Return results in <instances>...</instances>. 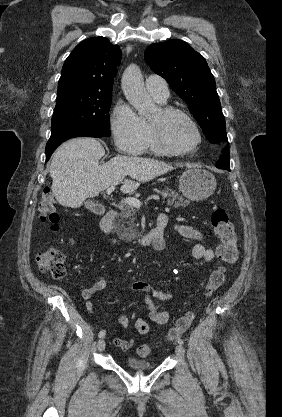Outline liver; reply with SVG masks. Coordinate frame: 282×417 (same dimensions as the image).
<instances>
[{
  "instance_id": "obj_1",
  "label": "liver",
  "mask_w": 282,
  "mask_h": 417,
  "mask_svg": "<svg viewBox=\"0 0 282 417\" xmlns=\"http://www.w3.org/2000/svg\"><path fill=\"white\" fill-rule=\"evenodd\" d=\"M104 154L105 148L101 142L88 136L72 138L57 148L50 166V176L53 178L51 188L57 202L78 209L85 198L98 196L101 190L120 184L126 174L135 180L126 178L121 192H134L140 182H148L168 170H174V166L163 160L122 154L99 164Z\"/></svg>"
}]
</instances>
